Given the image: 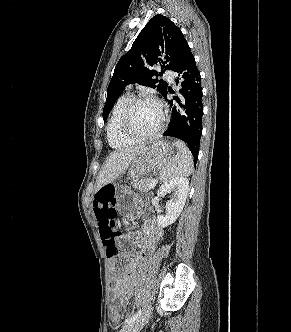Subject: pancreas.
<instances>
[{
	"label": "pancreas",
	"instance_id": "1",
	"mask_svg": "<svg viewBox=\"0 0 291 332\" xmlns=\"http://www.w3.org/2000/svg\"><path fill=\"white\" fill-rule=\"evenodd\" d=\"M151 181H152L151 178L144 179L141 181H136V182H134L133 187L136 190H139L140 192H148L150 190L149 186H150Z\"/></svg>",
	"mask_w": 291,
	"mask_h": 332
}]
</instances>
